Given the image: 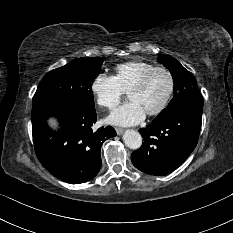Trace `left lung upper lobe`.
<instances>
[{"mask_svg": "<svg viewBox=\"0 0 233 233\" xmlns=\"http://www.w3.org/2000/svg\"><path fill=\"white\" fill-rule=\"evenodd\" d=\"M158 61L161 62L172 74L174 81V97L167 108L163 109L154 119L155 121L168 118L192 100L202 99L195 77L175 58L159 56Z\"/></svg>", "mask_w": 233, "mask_h": 233, "instance_id": "5c2ea615", "label": "left lung upper lobe"}]
</instances>
